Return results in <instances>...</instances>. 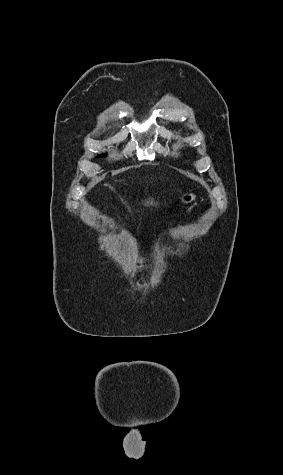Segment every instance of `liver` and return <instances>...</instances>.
Instances as JSON below:
<instances>
[{
    "instance_id": "liver-1",
    "label": "liver",
    "mask_w": 283,
    "mask_h": 475,
    "mask_svg": "<svg viewBox=\"0 0 283 475\" xmlns=\"http://www.w3.org/2000/svg\"><path fill=\"white\" fill-rule=\"evenodd\" d=\"M147 204H153V202H147Z\"/></svg>"
}]
</instances>
